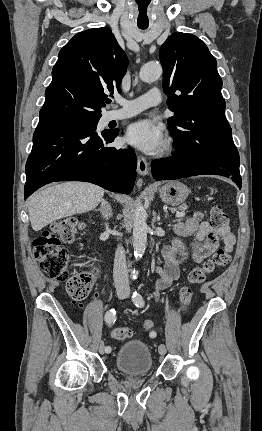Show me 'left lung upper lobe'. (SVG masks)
<instances>
[{
  "mask_svg": "<svg viewBox=\"0 0 262 431\" xmlns=\"http://www.w3.org/2000/svg\"><path fill=\"white\" fill-rule=\"evenodd\" d=\"M163 66V88L169 109L168 119L177 153L207 158L235 147L231 127L225 117L222 79L217 62L197 36L174 33L159 51Z\"/></svg>",
  "mask_w": 262,
  "mask_h": 431,
  "instance_id": "1",
  "label": "left lung upper lobe"
}]
</instances>
